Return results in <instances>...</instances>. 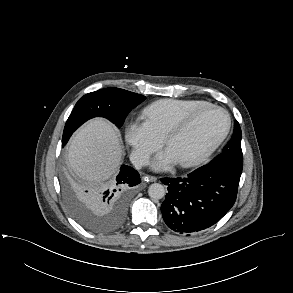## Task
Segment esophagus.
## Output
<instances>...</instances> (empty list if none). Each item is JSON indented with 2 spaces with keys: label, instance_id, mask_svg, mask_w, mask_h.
<instances>
[{
  "label": "esophagus",
  "instance_id": "34e87169",
  "mask_svg": "<svg viewBox=\"0 0 293 293\" xmlns=\"http://www.w3.org/2000/svg\"><path fill=\"white\" fill-rule=\"evenodd\" d=\"M144 180L145 181H150V182H155V181H157V177H155V176H145Z\"/></svg>",
  "mask_w": 293,
  "mask_h": 293
}]
</instances>
